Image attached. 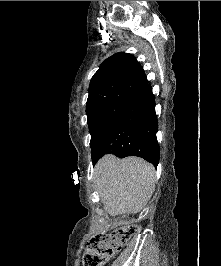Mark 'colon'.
Segmentation results:
<instances>
[{
    "mask_svg": "<svg viewBox=\"0 0 221 266\" xmlns=\"http://www.w3.org/2000/svg\"><path fill=\"white\" fill-rule=\"evenodd\" d=\"M137 231L136 225H127L93 236L86 244L83 266H103L127 244Z\"/></svg>",
    "mask_w": 221,
    "mask_h": 266,
    "instance_id": "5ec220e1",
    "label": "colon"
}]
</instances>
